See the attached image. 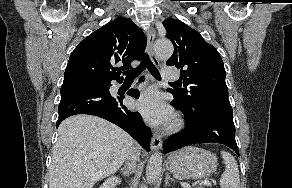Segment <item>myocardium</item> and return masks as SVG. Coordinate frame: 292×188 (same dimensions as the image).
Wrapping results in <instances>:
<instances>
[{"label":"myocardium","instance_id":"1","mask_svg":"<svg viewBox=\"0 0 292 188\" xmlns=\"http://www.w3.org/2000/svg\"><path fill=\"white\" fill-rule=\"evenodd\" d=\"M183 123L181 120H177L174 124V129H180L182 127Z\"/></svg>","mask_w":292,"mask_h":188}]
</instances>
